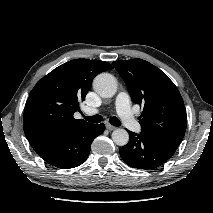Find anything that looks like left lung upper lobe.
<instances>
[{
  "label": "left lung upper lobe",
  "mask_w": 213,
  "mask_h": 213,
  "mask_svg": "<svg viewBox=\"0 0 213 213\" xmlns=\"http://www.w3.org/2000/svg\"><path fill=\"white\" fill-rule=\"evenodd\" d=\"M134 103L144 110L141 133L177 147L182 141L187 115L179 90L168 76L142 59L114 61Z\"/></svg>",
  "instance_id": "obj_1"
}]
</instances>
